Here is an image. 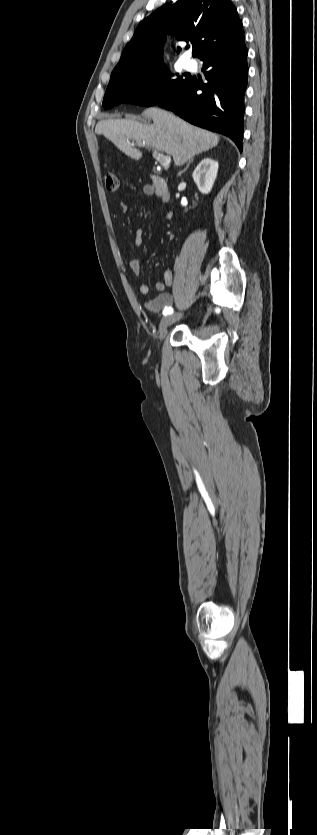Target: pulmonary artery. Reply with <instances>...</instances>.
Returning a JSON list of instances; mask_svg holds the SVG:
<instances>
[{"label": "pulmonary artery", "mask_w": 317, "mask_h": 835, "mask_svg": "<svg viewBox=\"0 0 317 835\" xmlns=\"http://www.w3.org/2000/svg\"><path fill=\"white\" fill-rule=\"evenodd\" d=\"M184 67L186 70L193 71L197 68V62L194 59H188L185 61Z\"/></svg>", "instance_id": "1"}]
</instances>
